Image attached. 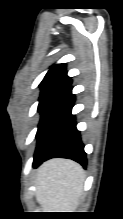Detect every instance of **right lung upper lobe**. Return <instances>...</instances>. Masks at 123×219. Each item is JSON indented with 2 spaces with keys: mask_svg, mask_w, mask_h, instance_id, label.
<instances>
[{
  "mask_svg": "<svg viewBox=\"0 0 123 219\" xmlns=\"http://www.w3.org/2000/svg\"><path fill=\"white\" fill-rule=\"evenodd\" d=\"M54 82H70V77L67 76L66 64H55L50 67L49 71L42 80L40 86Z\"/></svg>",
  "mask_w": 123,
  "mask_h": 219,
  "instance_id": "1",
  "label": "right lung upper lobe"
}]
</instances>
